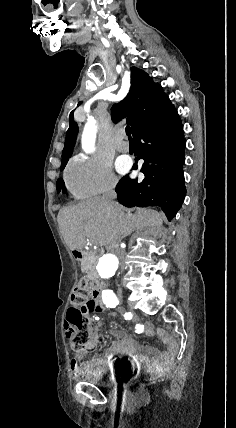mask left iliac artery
<instances>
[{
	"label": "left iliac artery",
	"mask_w": 236,
	"mask_h": 428,
	"mask_svg": "<svg viewBox=\"0 0 236 428\" xmlns=\"http://www.w3.org/2000/svg\"><path fill=\"white\" fill-rule=\"evenodd\" d=\"M102 300L106 307L115 308L119 301L113 291H102Z\"/></svg>",
	"instance_id": "obj_1"
}]
</instances>
